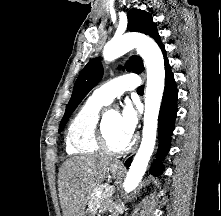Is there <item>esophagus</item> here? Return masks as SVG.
<instances>
[{
	"mask_svg": "<svg viewBox=\"0 0 221 216\" xmlns=\"http://www.w3.org/2000/svg\"><path fill=\"white\" fill-rule=\"evenodd\" d=\"M117 164H118V165H122V163H121V162H117Z\"/></svg>",
	"mask_w": 221,
	"mask_h": 216,
	"instance_id": "obj_1",
	"label": "esophagus"
}]
</instances>
